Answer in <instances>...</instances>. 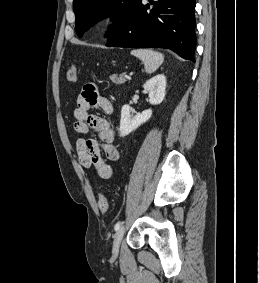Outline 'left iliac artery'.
<instances>
[{"mask_svg":"<svg viewBox=\"0 0 259 283\" xmlns=\"http://www.w3.org/2000/svg\"><path fill=\"white\" fill-rule=\"evenodd\" d=\"M120 226H121V222L119 221L116 223L114 229L117 231L120 228Z\"/></svg>","mask_w":259,"mask_h":283,"instance_id":"left-iliac-artery-1","label":"left iliac artery"}]
</instances>
